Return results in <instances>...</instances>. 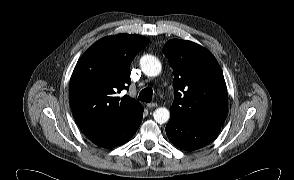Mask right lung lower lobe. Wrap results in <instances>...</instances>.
Listing matches in <instances>:
<instances>
[{"mask_svg": "<svg viewBox=\"0 0 294 180\" xmlns=\"http://www.w3.org/2000/svg\"><path fill=\"white\" fill-rule=\"evenodd\" d=\"M143 106L140 104L133 109L120 123L103 130L85 131V135L94 144L111 148L127 142L136 133L143 117Z\"/></svg>", "mask_w": 294, "mask_h": 180, "instance_id": "1", "label": "right lung lower lobe"}]
</instances>
